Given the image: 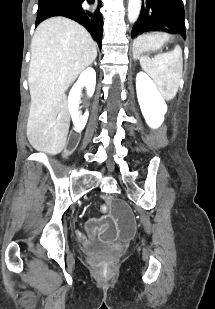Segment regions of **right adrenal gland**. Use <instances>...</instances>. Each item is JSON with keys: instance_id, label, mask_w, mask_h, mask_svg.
Masks as SVG:
<instances>
[{"instance_id": "obj_1", "label": "right adrenal gland", "mask_w": 215, "mask_h": 309, "mask_svg": "<svg viewBox=\"0 0 215 309\" xmlns=\"http://www.w3.org/2000/svg\"><path fill=\"white\" fill-rule=\"evenodd\" d=\"M94 64H97L96 60H95Z\"/></svg>"}]
</instances>
